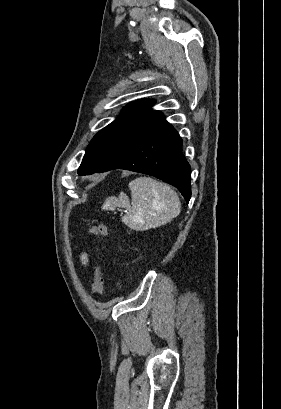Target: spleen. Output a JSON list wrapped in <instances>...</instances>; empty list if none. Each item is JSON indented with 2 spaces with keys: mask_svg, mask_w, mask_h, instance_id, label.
I'll use <instances>...</instances> for the list:
<instances>
[{
  "mask_svg": "<svg viewBox=\"0 0 281 409\" xmlns=\"http://www.w3.org/2000/svg\"><path fill=\"white\" fill-rule=\"evenodd\" d=\"M132 202L125 192L108 196L102 207L103 211H114L115 207L127 209L122 221L134 231H148L167 225L178 217L181 211L180 198L165 182H158L150 176H139L129 182Z\"/></svg>",
  "mask_w": 281,
  "mask_h": 409,
  "instance_id": "spleen-1",
  "label": "spleen"
}]
</instances>
